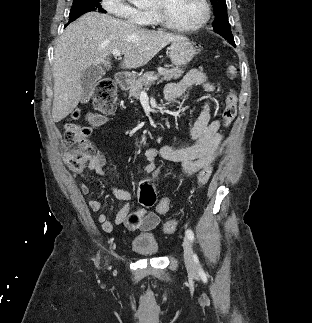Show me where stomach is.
<instances>
[{
    "label": "stomach",
    "instance_id": "0dacf381",
    "mask_svg": "<svg viewBox=\"0 0 312 323\" xmlns=\"http://www.w3.org/2000/svg\"><path fill=\"white\" fill-rule=\"evenodd\" d=\"M169 50V58L177 68L180 66H185V64H189L191 60H193L194 56L197 54L196 48H194L193 44L187 40V38H180V40H176V42H172ZM128 80L133 82L134 76H128Z\"/></svg>",
    "mask_w": 312,
    "mask_h": 323
}]
</instances>
